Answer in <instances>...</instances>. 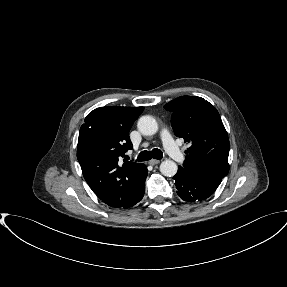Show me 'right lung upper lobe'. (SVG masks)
Returning a JSON list of instances; mask_svg holds the SVG:
<instances>
[{"mask_svg": "<svg viewBox=\"0 0 287 287\" xmlns=\"http://www.w3.org/2000/svg\"><path fill=\"white\" fill-rule=\"evenodd\" d=\"M144 107H100L90 112L79 132L77 158L93 192L113 207L127 198L144 164L119 162L132 143L129 131Z\"/></svg>", "mask_w": 287, "mask_h": 287, "instance_id": "1", "label": "right lung upper lobe"}]
</instances>
